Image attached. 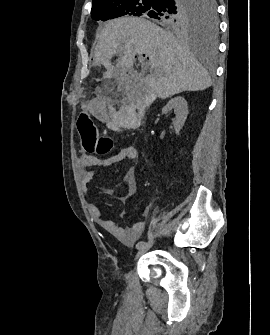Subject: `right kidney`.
Segmentation results:
<instances>
[{
  "label": "right kidney",
  "mask_w": 270,
  "mask_h": 335,
  "mask_svg": "<svg viewBox=\"0 0 270 335\" xmlns=\"http://www.w3.org/2000/svg\"><path fill=\"white\" fill-rule=\"evenodd\" d=\"M171 110H174V114H176V118L173 120V126L176 134H179L181 128H183L185 124L188 114V104L185 98H182V96L172 98V100L162 108L163 114H168Z\"/></svg>",
  "instance_id": "ca27d5eb"
}]
</instances>
